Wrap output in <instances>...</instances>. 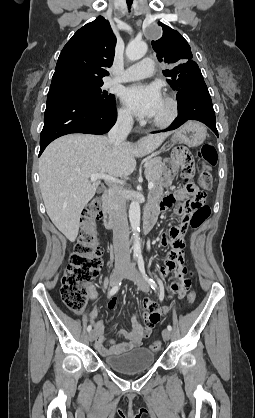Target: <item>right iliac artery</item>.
<instances>
[{
	"label": "right iliac artery",
	"mask_w": 255,
	"mask_h": 418,
	"mask_svg": "<svg viewBox=\"0 0 255 418\" xmlns=\"http://www.w3.org/2000/svg\"><path fill=\"white\" fill-rule=\"evenodd\" d=\"M121 283L117 284L116 286H114L110 291H109V297L113 296L120 288ZM92 329V326L89 325L87 327V331L90 332Z\"/></svg>",
	"instance_id": "82829eb1"
}]
</instances>
